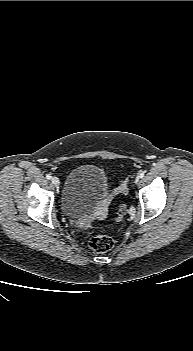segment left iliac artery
Here are the masks:
<instances>
[{
	"label": "left iliac artery",
	"mask_w": 193,
	"mask_h": 351,
	"mask_svg": "<svg viewBox=\"0 0 193 351\" xmlns=\"http://www.w3.org/2000/svg\"><path fill=\"white\" fill-rule=\"evenodd\" d=\"M144 174H145V172H144V171H141V172L139 173V176H138V177L142 178V177L144 176Z\"/></svg>",
	"instance_id": "1"
}]
</instances>
